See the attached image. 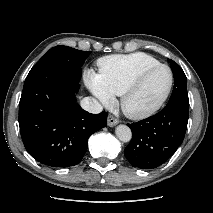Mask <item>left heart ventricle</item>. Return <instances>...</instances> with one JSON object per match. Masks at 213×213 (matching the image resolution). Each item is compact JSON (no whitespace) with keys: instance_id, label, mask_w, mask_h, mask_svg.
<instances>
[{"instance_id":"left-heart-ventricle-1","label":"left heart ventricle","mask_w":213,"mask_h":213,"mask_svg":"<svg viewBox=\"0 0 213 213\" xmlns=\"http://www.w3.org/2000/svg\"><path fill=\"white\" fill-rule=\"evenodd\" d=\"M169 80V72L164 68L152 72L129 98L128 107L131 110H142L153 105L166 91Z\"/></svg>"}]
</instances>
